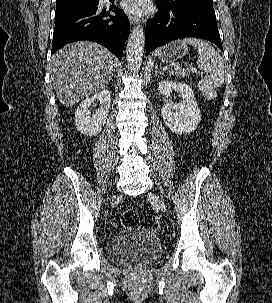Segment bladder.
Masks as SVG:
<instances>
[{
    "label": "bladder",
    "mask_w": 272,
    "mask_h": 303,
    "mask_svg": "<svg viewBox=\"0 0 272 303\" xmlns=\"http://www.w3.org/2000/svg\"><path fill=\"white\" fill-rule=\"evenodd\" d=\"M108 257L122 264H149L160 258L162 246L158 236L144 227H127L107 243Z\"/></svg>",
    "instance_id": "31cf9c89"
}]
</instances>
